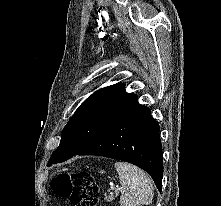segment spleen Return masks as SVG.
Segmentation results:
<instances>
[{
	"label": "spleen",
	"mask_w": 221,
	"mask_h": 206,
	"mask_svg": "<svg viewBox=\"0 0 221 206\" xmlns=\"http://www.w3.org/2000/svg\"><path fill=\"white\" fill-rule=\"evenodd\" d=\"M123 193L120 197L121 206L149 205L153 199L151 179L138 167L125 162H116Z\"/></svg>",
	"instance_id": "obj_1"
}]
</instances>
